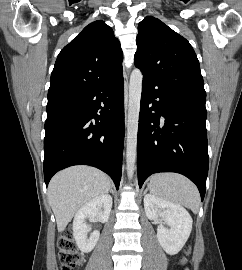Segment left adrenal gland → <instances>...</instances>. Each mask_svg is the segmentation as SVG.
<instances>
[{"instance_id":"a2214340","label":"left adrenal gland","mask_w":242,"mask_h":270,"mask_svg":"<svg viewBox=\"0 0 242 270\" xmlns=\"http://www.w3.org/2000/svg\"><path fill=\"white\" fill-rule=\"evenodd\" d=\"M148 189H149V187H147V189L144 191V195L147 193Z\"/></svg>"}]
</instances>
